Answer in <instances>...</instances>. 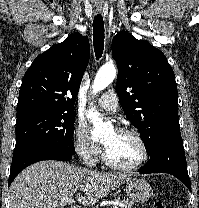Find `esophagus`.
<instances>
[{"mask_svg":"<svg viewBox=\"0 0 199 208\" xmlns=\"http://www.w3.org/2000/svg\"><path fill=\"white\" fill-rule=\"evenodd\" d=\"M96 11L100 13L102 11V8H96Z\"/></svg>","mask_w":199,"mask_h":208,"instance_id":"esophagus-1","label":"esophagus"}]
</instances>
